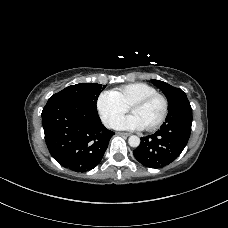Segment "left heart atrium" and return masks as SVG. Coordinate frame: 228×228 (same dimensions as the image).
Returning <instances> with one entry per match:
<instances>
[{
  "mask_svg": "<svg viewBox=\"0 0 228 228\" xmlns=\"http://www.w3.org/2000/svg\"><path fill=\"white\" fill-rule=\"evenodd\" d=\"M115 128L118 129H129V130H141L143 129L142 124L134 115H129L127 117H123L118 119L115 124Z\"/></svg>",
  "mask_w": 228,
  "mask_h": 228,
  "instance_id": "left-heart-atrium-1",
  "label": "left heart atrium"
}]
</instances>
